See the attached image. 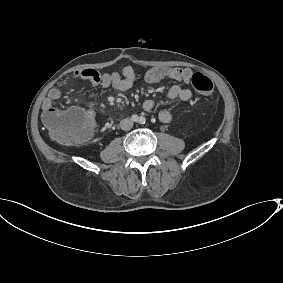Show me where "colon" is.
Wrapping results in <instances>:
<instances>
[{
	"instance_id": "5ec220e1",
	"label": "colon",
	"mask_w": 283,
	"mask_h": 283,
	"mask_svg": "<svg viewBox=\"0 0 283 283\" xmlns=\"http://www.w3.org/2000/svg\"><path fill=\"white\" fill-rule=\"evenodd\" d=\"M191 83L201 94L209 95L213 91L211 79L202 73L193 74ZM43 121L51 136L66 144L84 143L93 131L92 118L78 108L52 109L44 114Z\"/></svg>"
}]
</instances>
